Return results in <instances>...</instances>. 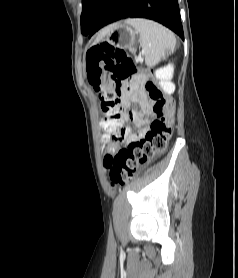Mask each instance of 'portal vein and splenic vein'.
Returning <instances> with one entry per match:
<instances>
[{
  "instance_id": "18ae733b",
  "label": "portal vein and splenic vein",
  "mask_w": 238,
  "mask_h": 278,
  "mask_svg": "<svg viewBox=\"0 0 238 278\" xmlns=\"http://www.w3.org/2000/svg\"><path fill=\"white\" fill-rule=\"evenodd\" d=\"M137 60H138V61H143V58H142L141 56H139V57L137 58Z\"/></svg>"
}]
</instances>
